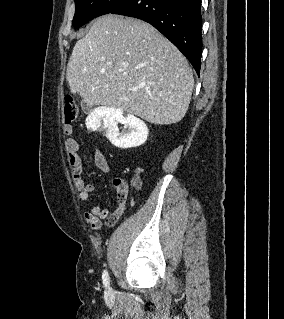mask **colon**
Here are the masks:
<instances>
[{
    "mask_svg": "<svg viewBox=\"0 0 284 319\" xmlns=\"http://www.w3.org/2000/svg\"><path fill=\"white\" fill-rule=\"evenodd\" d=\"M64 117H65V123L66 124H72L79 120L80 118V109L71 96L65 97V104H64ZM140 178L139 176H136L133 179V186L138 187L140 185ZM119 185L121 184V181L118 182Z\"/></svg>",
    "mask_w": 284,
    "mask_h": 319,
    "instance_id": "5ec220e1",
    "label": "colon"
}]
</instances>
